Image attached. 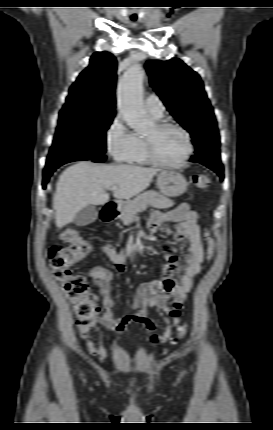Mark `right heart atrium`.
Masks as SVG:
<instances>
[{
	"label": "right heart atrium",
	"instance_id": "1",
	"mask_svg": "<svg viewBox=\"0 0 273 430\" xmlns=\"http://www.w3.org/2000/svg\"><path fill=\"white\" fill-rule=\"evenodd\" d=\"M105 142L111 157L122 163L129 162L138 147L136 134L126 126L120 115H116L109 124Z\"/></svg>",
	"mask_w": 273,
	"mask_h": 430
}]
</instances>
